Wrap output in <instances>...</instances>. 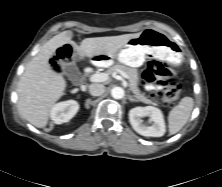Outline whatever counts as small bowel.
Returning a JSON list of instances; mask_svg holds the SVG:
<instances>
[{
	"label": "small bowel",
	"mask_w": 222,
	"mask_h": 187,
	"mask_svg": "<svg viewBox=\"0 0 222 187\" xmlns=\"http://www.w3.org/2000/svg\"><path fill=\"white\" fill-rule=\"evenodd\" d=\"M152 88H153L152 85H147V86H146V89H147V90H150V89H152Z\"/></svg>",
	"instance_id": "obj_1"
}]
</instances>
